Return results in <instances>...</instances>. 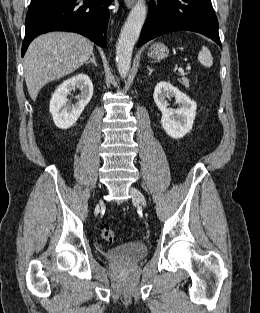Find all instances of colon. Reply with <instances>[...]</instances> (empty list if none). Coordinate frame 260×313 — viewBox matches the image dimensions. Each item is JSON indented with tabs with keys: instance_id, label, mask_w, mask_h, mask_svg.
<instances>
[{
	"instance_id": "1",
	"label": "colon",
	"mask_w": 260,
	"mask_h": 313,
	"mask_svg": "<svg viewBox=\"0 0 260 313\" xmlns=\"http://www.w3.org/2000/svg\"><path fill=\"white\" fill-rule=\"evenodd\" d=\"M100 235L105 241L112 243L117 240L115 232L107 225L100 227Z\"/></svg>"
}]
</instances>
